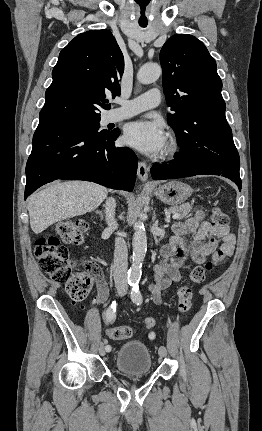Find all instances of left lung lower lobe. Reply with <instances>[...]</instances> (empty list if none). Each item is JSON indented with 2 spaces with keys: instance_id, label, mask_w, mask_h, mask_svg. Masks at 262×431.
I'll return each instance as SVG.
<instances>
[{
  "instance_id": "1",
  "label": "left lung lower lobe",
  "mask_w": 262,
  "mask_h": 431,
  "mask_svg": "<svg viewBox=\"0 0 262 431\" xmlns=\"http://www.w3.org/2000/svg\"><path fill=\"white\" fill-rule=\"evenodd\" d=\"M240 159L236 149L224 150L221 155L208 161L183 159L175 156L170 164H154L151 168L153 179H176L195 175H221L232 179L241 190L239 175Z\"/></svg>"
}]
</instances>
